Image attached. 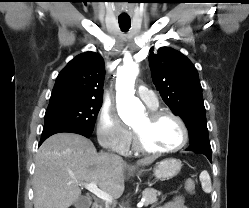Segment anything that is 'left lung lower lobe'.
<instances>
[{"label": "left lung lower lobe", "mask_w": 249, "mask_h": 208, "mask_svg": "<svg viewBox=\"0 0 249 208\" xmlns=\"http://www.w3.org/2000/svg\"><path fill=\"white\" fill-rule=\"evenodd\" d=\"M187 151H193L195 153H200V154H204L210 162H212L211 160V146L205 145L203 143H194L191 144L189 148L186 149Z\"/></svg>", "instance_id": "0a47b994"}]
</instances>
